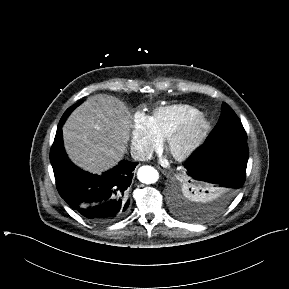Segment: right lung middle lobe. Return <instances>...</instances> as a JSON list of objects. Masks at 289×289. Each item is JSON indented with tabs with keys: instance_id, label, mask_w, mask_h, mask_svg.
<instances>
[{
	"instance_id": "1",
	"label": "right lung middle lobe",
	"mask_w": 289,
	"mask_h": 289,
	"mask_svg": "<svg viewBox=\"0 0 289 289\" xmlns=\"http://www.w3.org/2000/svg\"><path fill=\"white\" fill-rule=\"evenodd\" d=\"M82 101L76 103L75 105L71 106L70 108H68L65 113L63 114L61 120H60V123H63L65 122L66 118L69 116V114L73 111V109H75L79 104H81Z\"/></svg>"
}]
</instances>
